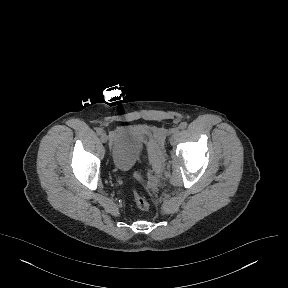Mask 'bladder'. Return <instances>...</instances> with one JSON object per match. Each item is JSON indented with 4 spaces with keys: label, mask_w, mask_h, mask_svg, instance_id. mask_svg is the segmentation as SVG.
Returning a JSON list of instances; mask_svg holds the SVG:
<instances>
[{
    "label": "bladder",
    "mask_w": 288,
    "mask_h": 288,
    "mask_svg": "<svg viewBox=\"0 0 288 288\" xmlns=\"http://www.w3.org/2000/svg\"><path fill=\"white\" fill-rule=\"evenodd\" d=\"M146 140V132L136 126H121L110 133L109 150L114 167L128 171L138 161Z\"/></svg>",
    "instance_id": "31cf9c89"
}]
</instances>
